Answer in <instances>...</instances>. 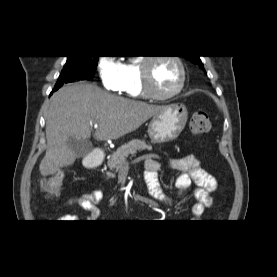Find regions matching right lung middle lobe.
<instances>
[{
	"instance_id": "obj_1",
	"label": "right lung middle lobe",
	"mask_w": 277,
	"mask_h": 277,
	"mask_svg": "<svg viewBox=\"0 0 277 277\" xmlns=\"http://www.w3.org/2000/svg\"><path fill=\"white\" fill-rule=\"evenodd\" d=\"M98 56L95 57H78L68 56L66 64L59 76V80H64L65 83L74 80H90L92 79L97 67ZM57 81V82H58Z\"/></svg>"
}]
</instances>
